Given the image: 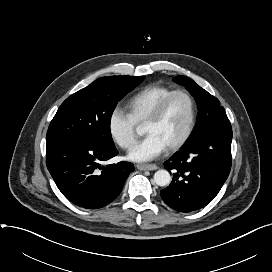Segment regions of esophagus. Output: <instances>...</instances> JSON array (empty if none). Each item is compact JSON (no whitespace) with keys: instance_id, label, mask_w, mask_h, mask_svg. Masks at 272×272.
I'll use <instances>...</instances> for the list:
<instances>
[{"instance_id":"obj_1","label":"esophagus","mask_w":272,"mask_h":272,"mask_svg":"<svg viewBox=\"0 0 272 272\" xmlns=\"http://www.w3.org/2000/svg\"><path fill=\"white\" fill-rule=\"evenodd\" d=\"M137 169L139 170H156L158 167L155 164H138Z\"/></svg>"}]
</instances>
